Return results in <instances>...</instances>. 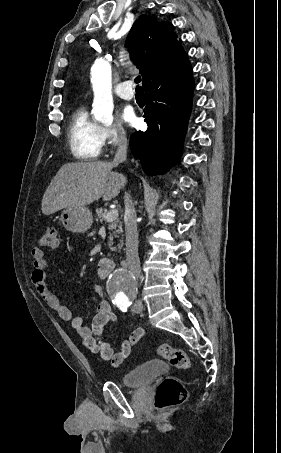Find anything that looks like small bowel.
Listing matches in <instances>:
<instances>
[{
    "label": "small bowel",
    "instance_id": "small-bowel-1",
    "mask_svg": "<svg viewBox=\"0 0 281 453\" xmlns=\"http://www.w3.org/2000/svg\"><path fill=\"white\" fill-rule=\"evenodd\" d=\"M31 257L33 267L30 272V279L34 283L38 295L61 319L68 321L76 329L88 350L98 354L103 360L109 361L113 367H120L131 354L132 347L145 334L144 330L136 329L128 339L119 343V350L115 351L111 344L101 338L104 327L108 323L115 321V315L109 300L101 298L97 306V314L92 320L91 326L85 325L82 318L74 315L67 306L63 305L49 287L46 278L47 257L44 251L33 249ZM93 291L97 295H102V289L99 285H94Z\"/></svg>",
    "mask_w": 281,
    "mask_h": 453
}]
</instances>
